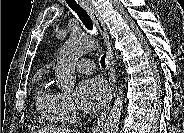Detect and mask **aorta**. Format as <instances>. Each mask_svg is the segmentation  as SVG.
<instances>
[{"label": "aorta", "mask_w": 184, "mask_h": 133, "mask_svg": "<svg viewBox=\"0 0 184 133\" xmlns=\"http://www.w3.org/2000/svg\"><path fill=\"white\" fill-rule=\"evenodd\" d=\"M98 41L87 34L72 35L63 45L60 51L57 66L56 79L58 86L64 91H72L75 85V66L79 58L86 53L96 50ZM123 84L117 89L116 99L100 133H117L123 113Z\"/></svg>", "instance_id": "762f6f07"}]
</instances>
